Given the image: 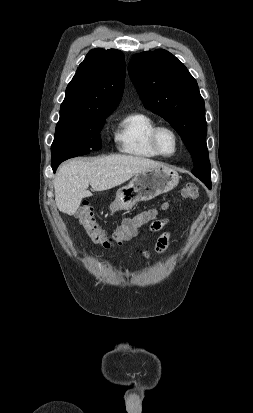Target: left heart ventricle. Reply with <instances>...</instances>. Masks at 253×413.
<instances>
[{
	"instance_id": "1",
	"label": "left heart ventricle",
	"mask_w": 253,
	"mask_h": 413,
	"mask_svg": "<svg viewBox=\"0 0 253 413\" xmlns=\"http://www.w3.org/2000/svg\"><path fill=\"white\" fill-rule=\"evenodd\" d=\"M158 143H159L160 149L165 154H172L175 150V146H176L175 139L173 135L167 130H162L159 133Z\"/></svg>"
}]
</instances>
